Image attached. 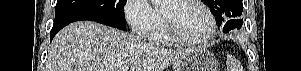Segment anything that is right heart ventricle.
I'll return each mask as SVG.
<instances>
[{
	"mask_svg": "<svg viewBox=\"0 0 301 71\" xmlns=\"http://www.w3.org/2000/svg\"><path fill=\"white\" fill-rule=\"evenodd\" d=\"M148 39L154 43L163 45H171L174 42L167 34L165 27L161 22Z\"/></svg>",
	"mask_w": 301,
	"mask_h": 71,
	"instance_id": "e07e8e85",
	"label": "right heart ventricle"
}]
</instances>
